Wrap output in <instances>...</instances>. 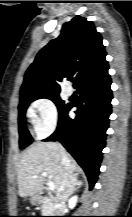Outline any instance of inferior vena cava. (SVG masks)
Returning <instances> with one entry per match:
<instances>
[{"label":"inferior vena cava","mask_w":132,"mask_h":217,"mask_svg":"<svg viewBox=\"0 0 132 217\" xmlns=\"http://www.w3.org/2000/svg\"><path fill=\"white\" fill-rule=\"evenodd\" d=\"M62 181L56 194V203L64 204L65 200L72 194V186L75 175L70 170V159L62 146H60Z\"/></svg>","instance_id":"obj_1"}]
</instances>
